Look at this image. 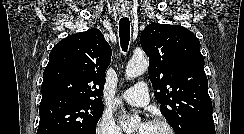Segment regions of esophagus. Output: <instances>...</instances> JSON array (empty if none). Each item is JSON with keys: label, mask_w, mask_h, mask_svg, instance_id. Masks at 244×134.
<instances>
[{"label": "esophagus", "mask_w": 244, "mask_h": 134, "mask_svg": "<svg viewBox=\"0 0 244 134\" xmlns=\"http://www.w3.org/2000/svg\"><path fill=\"white\" fill-rule=\"evenodd\" d=\"M122 15H123V16H125V15H126V13H122Z\"/></svg>", "instance_id": "obj_1"}]
</instances>
